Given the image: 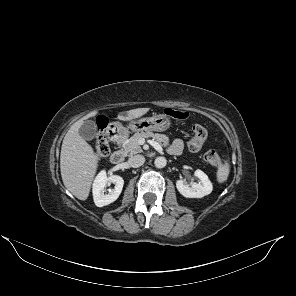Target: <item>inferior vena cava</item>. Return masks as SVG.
I'll return each mask as SVG.
<instances>
[{"instance_id":"602c4592","label":"inferior vena cava","mask_w":296,"mask_h":296,"mask_svg":"<svg viewBox=\"0 0 296 296\" xmlns=\"http://www.w3.org/2000/svg\"><path fill=\"white\" fill-rule=\"evenodd\" d=\"M145 157L142 155H135L129 158L128 163L131 167H140L144 164Z\"/></svg>"}]
</instances>
